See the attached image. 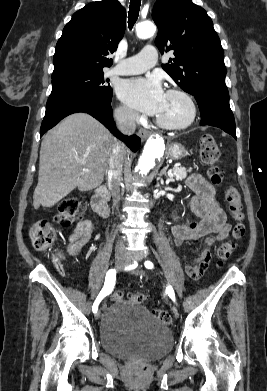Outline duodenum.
Wrapping results in <instances>:
<instances>
[{
    "mask_svg": "<svg viewBox=\"0 0 267 391\" xmlns=\"http://www.w3.org/2000/svg\"><path fill=\"white\" fill-rule=\"evenodd\" d=\"M91 206L99 216L103 218L108 217V192L105 188H99L95 191L91 199Z\"/></svg>",
    "mask_w": 267,
    "mask_h": 391,
    "instance_id": "obj_1",
    "label": "duodenum"
}]
</instances>
